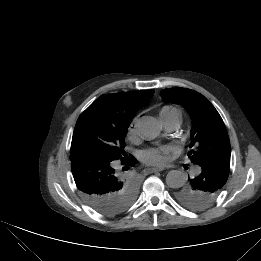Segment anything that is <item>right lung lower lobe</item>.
<instances>
[{
  "label": "right lung lower lobe",
  "instance_id": "right-lung-lower-lobe-1",
  "mask_svg": "<svg viewBox=\"0 0 261 261\" xmlns=\"http://www.w3.org/2000/svg\"><path fill=\"white\" fill-rule=\"evenodd\" d=\"M70 160L76 186L94 210L106 216H115L127 209L118 197L127 178L114 169L116 161L84 152L71 153ZM134 163L133 157L121 160L125 171Z\"/></svg>",
  "mask_w": 261,
  "mask_h": 261
}]
</instances>
